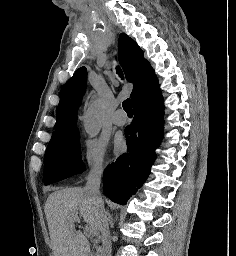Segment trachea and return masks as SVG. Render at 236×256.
<instances>
[{"label":"trachea","instance_id":"3493384b","mask_svg":"<svg viewBox=\"0 0 236 256\" xmlns=\"http://www.w3.org/2000/svg\"><path fill=\"white\" fill-rule=\"evenodd\" d=\"M117 73L122 78V71L119 69V67H117ZM122 106H123V110H125L126 113H133L130 98H127V100L123 101Z\"/></svg>","mask_w":236,"mask_h":256}]
</instances>
